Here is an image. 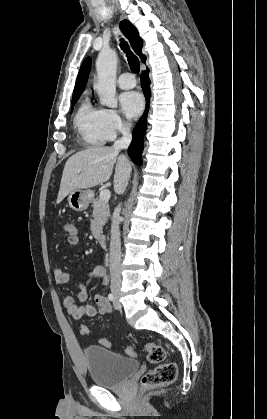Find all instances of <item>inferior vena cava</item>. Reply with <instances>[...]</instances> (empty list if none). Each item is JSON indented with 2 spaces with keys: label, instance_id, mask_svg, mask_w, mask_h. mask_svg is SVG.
<instances>
[{
  "label": "inferior vena cava",
  "instance_id": "inferior-vena-cava-1",
  "mask_svg": "<svg viewBox=\"0 0 267 419\" xmlns=\"http://www.w3.org/2000/svg\"><path fill=\"white\" fill-rule=\"evenodd\" d=\"M131 124L125 123L121 126L120 132L122 137L114 142L113 148L117 151L127 149L131 143L132 135L130 132ZM128 184V179L124 184L125 190ZM121 206L116 209L112 224H111V241H110V277H111V290H118L121 286V240L119 231V213Z\"/></svg>",
  "mask_w": 267,
  "mask_h": 419
}]
</instances>
